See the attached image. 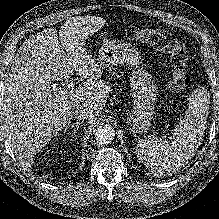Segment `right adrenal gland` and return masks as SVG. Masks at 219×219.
<instances>
[{
    "mask_svg": "<svg viewBox=\"0 0 219 219\" xmlns=\"http://www.w3.org/2000/svg\"><path fill=\"white\" fill-rule=\"evenodd\" d=\"M81 123H83V121H81V120H76V122L75 123H73V124H71V126L69 125V126H66V128L64 129V132H66L67 130H69L70 128H72L73 129V133H72V136L76 133V131H77V129L79 128V125L81 124Z\"/></svg>",
    "mask_w": 219,
    "mask_h": 219,
    "instance_id": "1",
    "label": "right adrenal gland"
}]
</instances>
